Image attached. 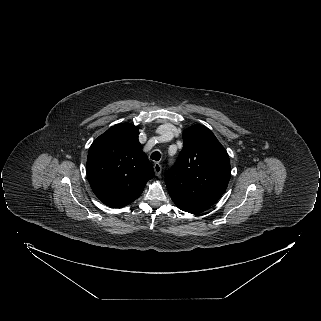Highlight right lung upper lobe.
<instances>
[{
  "mask_svg": "<svg viewBox=\"0 0 321 321\" xmlns=\"http://www.w3.org/2000/svg\"><path fill=\"white\" fill-rule=\"evenodd\" d=\"M138 135L137 126L117 124L90 146L88 180L95 195L107 206L121 208L133 202L154 176Z\"/></svg>",
  "mask_w": 321,
  "mask_h": 321,
  "instance_id": "cb5924a9",
  "label": "right lung upper lobe"
}]
</instances>
